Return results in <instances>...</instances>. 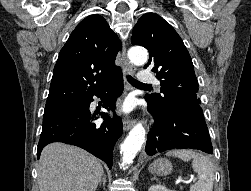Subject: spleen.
Segmentation results:
<instances>
[{
    "label": "spleen",
    "mask_w": 251,
    "mask_h": 191,
    "mask_svg": "<svg viewBox=\"0 0 251 191\" xmlns=\"http://www.w3.org/2000/svg\"><path fill=\"white\" fill-rule=\"evenodd\" d=\"M166 155H175L183 161L192 159L193 171H197L199 179L190 185V191H212L214 169L213 163L206 155L199 153L196 149H173V151H167Z\"/></svg>",
    "instance_id": "1"
}]
</instances>
